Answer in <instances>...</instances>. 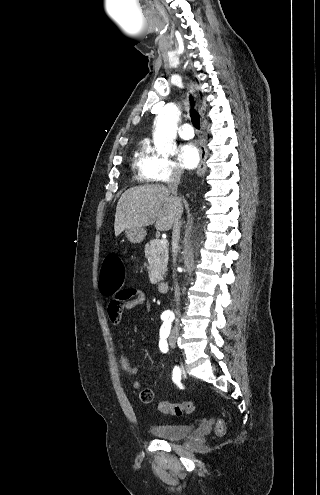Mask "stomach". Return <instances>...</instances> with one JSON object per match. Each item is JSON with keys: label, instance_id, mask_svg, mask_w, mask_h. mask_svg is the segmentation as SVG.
<instances>
[{"label": "stomach", "instance_id": "1", "mask_svg": "<svg viewBox=\"0 0 320 495\" xmlns=\"http://www.w3.org/2000/svg\"><path fill=\"white\" fill-rule=\"evenodd\" d=\"M125 234L131 243H140L145 239L146 230L142 227H132L126 229Z\"/></svg>", "mask_w": 320, "mask_h": 495}]
</instances>
